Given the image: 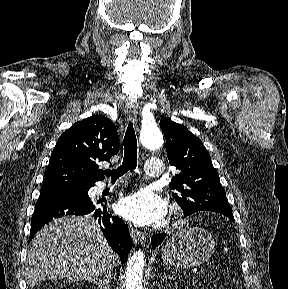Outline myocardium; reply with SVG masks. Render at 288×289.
<instances>
[{"label": "myocardium", "instance_id": "f54148a6", "mask_svg": "<svg viewBox=\"0 0 288 289\" xmlns=\"http://www.w3.org/2000/svg\"><path fill=\"white\" fill-rule=\"evenodd\" d=\"M172 214H173V217L176 220L177 224H179L182 221V216H183L182 208L178 205L173 206Z\"/></svg>", "mask_w": 288, "mask_h": 289}]
</instances>
